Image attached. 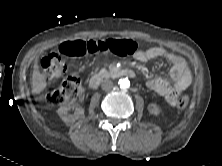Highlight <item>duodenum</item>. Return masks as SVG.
<instances>
[{
    "mask_svg": "<svg viewBox=\"0 0 222 166\" xmlns=\"http://www.w3.org/2000/svg\"><path fill=\"white\" fill-rule=\"evenodd\" d=\"M114 74L118 76L135 77V72L129 68H120L116 70ZM102 79H103V76L101 74L93 75L88 81L89 87L91 89H96L100 85Z\"/></svg>",
    "mask_w": 222,
    "mask_h": 166,
    "instance_id": "duodenum-1",
    "label": "duodenum"
}]
</instances>
